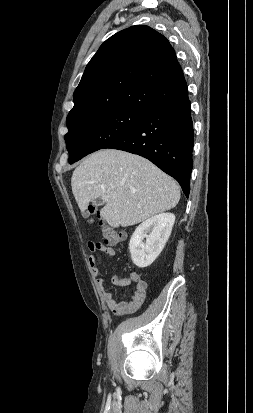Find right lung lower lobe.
<instances>
[{"label": "right lung lower lobe", "mask_w": 253, "mask_h": 413, "mask_svg": "<svg viewBox=\"0 0 253 413\" xmlns=\"http://www.w3.org/2000/svg\"><path fill=\"white\" fill-rule=\"evenodd\" d=\"M193 132L191 103L185 91L150 108L133 130L105 148L147 158L175 178L188 196L193 167Z\"/></svg>", "instance_id": "obj_1"}]
</instances>
